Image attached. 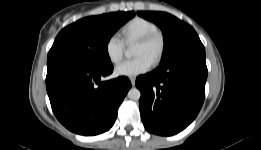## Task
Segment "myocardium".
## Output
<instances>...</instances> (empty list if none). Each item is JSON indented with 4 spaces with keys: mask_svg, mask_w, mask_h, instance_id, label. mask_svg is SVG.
I'll return each mask as SVG.
<instances>
[{
    "mask_svg": "<svg viewBox=\"0 0 261 150\" xmlns=\"http://www.w3.org/2000/svg\"><path fill=\"white\" fill-rule=\"evenodd\" d=\"M138 43L145 44L150 47H154V55H153V63L158 64L163 59L165 49H166V42L164 35L159 32L155 31L149 33L145 36L140 37L137 40Z\"/></svg>",
    "mask_w": 261,
    "mask_h": 150,
    "instance_id": "1",
    "label": "myocardium"
}]
</instances>
